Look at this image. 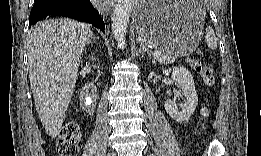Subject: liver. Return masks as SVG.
<instances>
[{"label":"liver","instance_id":"6515ba94","mask_svg":"<svg viewBox=\"0 0 261 156\" xmlns=\"http://www.w3.org/2000/svg\"><path fill=\"white\" fill-rule=\"evenodd\" d=\"M92 35L90 25L68 18L41 21L29 34L30 86L41 123L52 138L61 130L81 54Z\"/></svg>","mask_w":261,"mask_h":156}]
</instances>
